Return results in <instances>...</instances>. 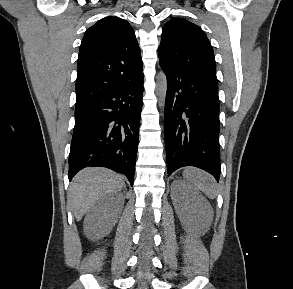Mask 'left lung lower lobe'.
Wrapping results in <instances>:
<instances>
[{
	"label": "left lung lower lobe",
	"mask_w": 293,
	"mask_h": 289,
	"mask_svg": "<svg viewBox=\"0 0 293 289\" xmlns=\"http://www.w3.org/2000/svg\"><path fill=\"white\" fill-rule=\"evenodd\" d=\"M164 135L168 175L195 166L220 177L219 98L217 79L169 69Z\"/></svg>",
	"instance_id": "1"
}]
</instances>
